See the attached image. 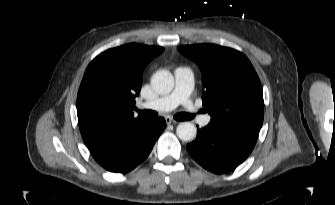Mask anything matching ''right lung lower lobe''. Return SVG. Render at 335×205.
Instances as JSON below:
<instances>
[{"mask_svg":"<svg viewBox=\"0 0 335 205\" xmlns=\"http://www.w3.org/2000/svg\"><path fill=\"white\" fill-rule=\"evenodd\" d=\"M165 124V119L162 117L153 119L147 129L126 144L106 150L92 151L91 154L101 166L111 172L131 171L149 155Z\"/></svg>","mask_w":335,"mask_h":205,"instance_id":"obj_1","label":"right lung lower lobe"}]
</instances>
